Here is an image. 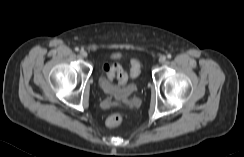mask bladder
Instances as JSON below:
<instances>
[{
  "mask_svg": "<svg viewBox=\"0 0 244 157\" xmlns=\"http://www.w3.org/2000/svg\"><path fill=\"white\" fill-rule=\"evenodd\" d=\"M104 68H105V66L103 67V70H104ZM99 85H100L101 90L104 93L118 97V98H126L135 90V85H133V84L128 85L124 88L116 87L111 82H109V80L105 77V75L103 73H101L99 76Z\"/></svg>",
  "mask_w": 244,
  "mask_h": 157,
  "instance_id": "bladder-1",
  "label": "bladder"
}]
</instances>
